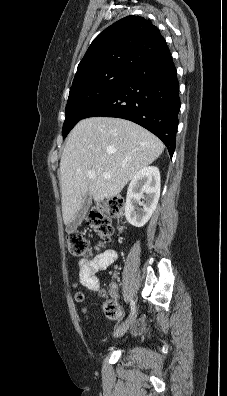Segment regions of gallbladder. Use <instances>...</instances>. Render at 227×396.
I'll return each mask as SVG.
<instances>
[{"label": "gallbladder", "instance_id": "gallbladder-1", "mask_svg": "<svg viewBox=\"0 0 227 396\" xmlns=\"http://www.w3.org/2000/svg\"><path fill=\"white\" fill-rule=\"evenodd\" d=\"M91 203H92L91 196L89 194L85 195L83 197L81 207L79 208L75 216L72 218V220L69 222V224L66 227V230L68 232H72L76 230V228L82 223L83 219L85 218L91 206Z\"/></svg>", "mask_w": 227, "mask_h": 396}]
</instances>
